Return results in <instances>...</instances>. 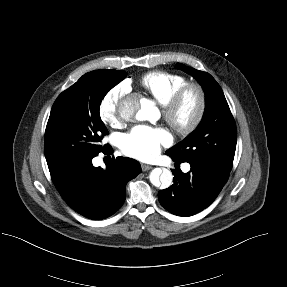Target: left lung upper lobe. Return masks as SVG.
<instances>
[{"mask_svg": "<svg viewBox=\"0 0 287 287\" xmlns=\"http://www.w3.org/2000/svg\"><path fill=\"white\" fill-rule=\"evenodd\" d=\"M202 85L206 107L201 123L187 138L166 151L173 159L186 162L200 160L231 171L237 133L230 108L220 85L208 73L177 63Z\"/></svg>", "mask_w": 287, "mask_h": 287, "instance_id": "obj_1", "label": "left lung upper lobe"}]
</instances>
